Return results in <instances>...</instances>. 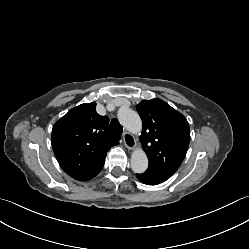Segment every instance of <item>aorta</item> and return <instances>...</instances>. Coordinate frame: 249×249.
<instances>
[{
    "label": "aorta",
    "instance_id": "1",
    "mask_svg": "<svg viewBox=\"0 0 249 249\" xmlns=\"http://www.w3.org/2000/svg\"><path fill=\"white\" fill-rule=\"evenodd\" d=\"M118 120L122 126L134 134L142 130L140 116L134 110L123 107L118 110ZM131 168L134 173H144L148 168V158L142 149H136L131 155Z\"/></svg>",
    "mask_w": 249,
    "mask_h": 249
}]
</instances>
